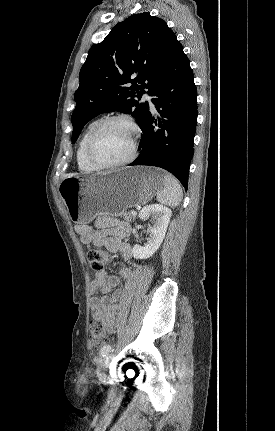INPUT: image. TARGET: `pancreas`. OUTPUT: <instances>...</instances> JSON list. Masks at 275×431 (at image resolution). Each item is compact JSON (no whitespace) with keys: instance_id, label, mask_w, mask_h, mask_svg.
Here are the masks:
<instances>
[{"instance_id":"pancreas-1","label":"pancreas","mask_w":275,"mask_h":431,"mask_svg":"<svg viewBox=\"0 0 275 431\" xmlns=\"http://www.w3.org/2000/svg\"><path fill=\"white\" fill-rule=\"evenodd\" d=\"M121 217H123L124 220L131 222L132 220L135 219V216L132 215L130 212H123L120 215Z\"/></svg>"}]
</instances>
